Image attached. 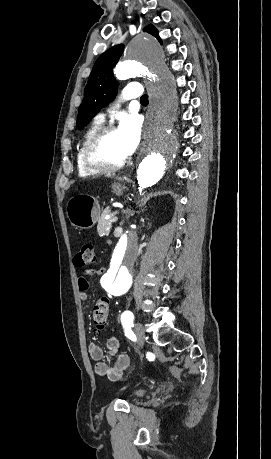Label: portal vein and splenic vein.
Masks as SVG:
<instances>
[{
    "instance_id": "1",
    "label": "portal vein and splenic vein",
    "mask_w": 271,
    "mask_h": 459,
    "mask_svg": "<svg viewBox=\"0 0 271 459\" xmlns=\"http://www.w3.org/2000/svg\"><path fill=\"white\" fill-rule=\"evenodd\" d=\"M117 218H118L117 216H114V217H113V219L111 220V223H112V224H114V223H115V221H117V220H118Z\"/></svg>"
}]
</instances>
